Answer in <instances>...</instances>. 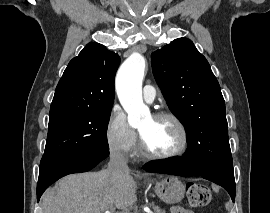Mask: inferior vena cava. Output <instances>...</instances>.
Returning <instances> with one entry per match:
<instances>
[{"mask_svg":"<svg viewBox=\"0 0 270 213\" xmlns=\"http://www.w3.org/2000/svg\"><path fill=\"white\" fill-rule=\"evenodd\" d=\"M108 170L111 174L115 176H120V175L129 173L127 160L122 153L117 152V151H112L110 153V161L108 164Z\"/></svg>","mask_w":270,"mask_h":213,"instance_id":"1","label":"inferior vena cava"}]
</instances>
